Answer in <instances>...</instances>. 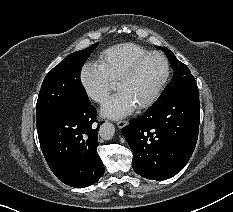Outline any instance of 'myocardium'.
Wrapping results in <instances>:
<instances>
[{
	"instance_id": "1",
	"label": "myocardium",
	"mask_w": 233,
	"mask_h": 212,
	"mask_svg": "<svg viewBox=\"0 0 233 212\" xmlns=\"http://www.w3.org/2000/svg\"><path fill=\"white\" fill-rule=\"evenodd\" d=\"M153 56L160 57L163 60L164 65H165V73H164V76L161 82L159 83L155 91L151 94V96L147 100H145L144 102L136 106L138 110L146 109L150 107L151 105H153L155 101L158 99V97L160 96V94L162 93L163 89L165 88L169 80L170 73H171V65H170V61L168 57L162 52H158V51L148 52L140 56L136 60H134L116 81V85H117L121 82L129 80L136 73L140 65L145 60Z\"/></svg>"
}]
</instances>
